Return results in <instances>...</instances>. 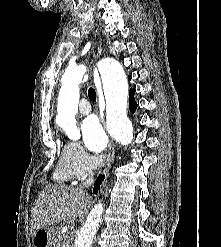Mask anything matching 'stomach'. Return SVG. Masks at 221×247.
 <instances>
[{
	"label": "stomach",
	"instance_id": "obj_1",
	"mask_svg": "<svg viewBox=\"0 0 221 247\" xmlns=\"http://www.w3.org/2000/svg\"><path fill=\"white\" fill-rule=\"evenodd\" d=\"M53 232L49 228L39 229L32 237L34 247H51L53 243Z\"/></svg>",
	"mask_w": 221,
	"mask_h": 247
}]
</instances>
